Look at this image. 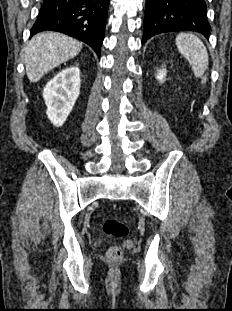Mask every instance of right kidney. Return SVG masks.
<instances>
[{
  "label": "right kidney",
  "instance_id": "right-kidney-1",
  "mask_svg": "<svg viewBox=\"0 0 232 311\" xmlns=\"http://www.w3.org/2000/svg\"><path fill=\"white\" fill-rule=\"evenodd\" d=\"M80 70L68 67L54 76L45 86V100L49 120L57 127L63 125L79 96Z\"/></svg>",
  "mask_w": 232,
  "mask_h": 311
}]
</instances>
